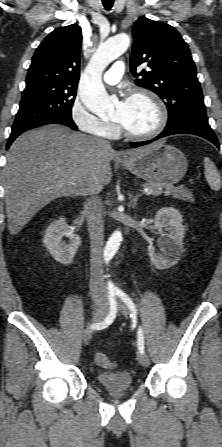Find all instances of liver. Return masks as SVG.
Masks as SVG:
<instances>
[{
    "label": "liver",
    "mask_w": 222,
    "mask_h": 447,
    "mask_svg": "<svg viewBox=\"0 0 222 447\" xmlns=\"http://www.w3.org/2000/svg\"><path fill=\"white\" fill-rule=\"evenodd\" d=\"M144 149L118 152L101 139L61 125L22 134L7 153L3 174L10 234H18L51 201L84 195L95 184L107 185L112 177L111 160Z\"/></svg>",
    "instance_id": "6515ba94"
}]
</instances>
